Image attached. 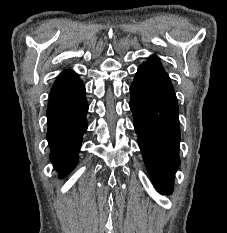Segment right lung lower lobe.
<instances>
[{"label":"right lung lower lobe","instance_id":"98d812e1","mask_svg":"<svg viewBox=\"0 0 227 233\" xmlns=\"http://www.w3.org/2000/svg\"><path fill=\"white\" fill-rule=\"evenodd\" d=\"M81 80L51 96L47 107L50 159L63 177L78 162L82 136L87 130L88 104Z\"/></svg>","mask_w":227,"mask_h":233}]
</instances>
